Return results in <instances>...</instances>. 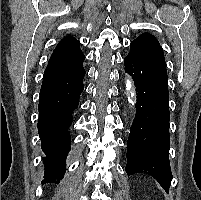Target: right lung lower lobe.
Returning a JSON list of instances; mask_svg holds the SVG:
<instances>
[{
	"instance_id": "98d812e1",
	"label": "right lung lower lobe",
	"mask_w": 201,
	"mask_h": 200,
	"mask_svg": "<svg viewBox=\"0 0 201 200\" xmlns=\"http://www.w3.org/2000/svg\"><path fill=\"white\" fill-rule=\"evenodd\" d=\"M84 76L82 64L65 76L42 82L38 105V133L46 155L43 158L45 172L42 183H59L66 171L65 161L71 143L68 128L84 90Z\"/></svg>"
}]
</instances>
